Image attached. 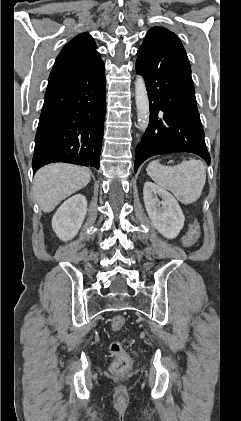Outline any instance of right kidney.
Wrapping results in <instances>:
<instances>
[{
  "label": "right kidney",
  "mask_w": 241,
  "mask_h": 421,
  "mask_svg": "<svg viewBox=\"0 0 241 421\" xmlns=\"http://www.w3.org/2000/svg\"><path fill=\"white\" fill-rule=\"evenodd\" d=\"M87 213V200L77 194L66 200L52 219V228L63 241L74 238L80 230Z\"/></svg>",
  "instance_id": "right-kidney-1"
}]
</instances>
